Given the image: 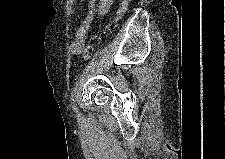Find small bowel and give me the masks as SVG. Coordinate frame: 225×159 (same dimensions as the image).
<instances>
[{
    "mask_svg": "<svg viewBox=\"0 0 225 159\" xmlns=\"http://www.w3.org/2000/svg\"><path fill=\"white\" fill-rule=\"evenodd\" d=\"M112 0H100L99 3L96 5L94 0L89 1V11L80 25V27L77 29L74 39L71 43L70 50L73 55H79L83 52L86 42V36L88 29L90 27L91 21L94 17V15L97 13L99 15H104L109 8L112 5ZM70 7H73V2L69 3Z\"/></svg>",
    "mask_w": 225,
    "mask_h": 159,
    "instance_id": "c3829d8e",
    "label": "small bowel"
}]
</instances>
